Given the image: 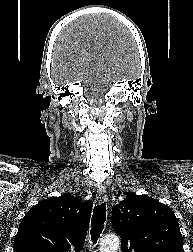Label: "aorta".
Instances as JSON below:
<instances>
[{"label":"aorta","mask_w":193,"mask_h":252,"mask_svg":"<svg viewBox=\"0 0 193 252\" xmlns=\"http://www.w3.org/2000/svg\"><path fill=\"white\" fill-rule=\"evenodd\" d=\"M120 244V239L116 235H108L100 241V252H116Z\"/></svg>","instance_id":"aorta-1"}]
</instances>
